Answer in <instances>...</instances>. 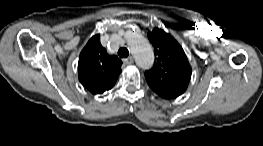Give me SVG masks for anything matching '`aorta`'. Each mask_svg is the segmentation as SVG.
<instances>
[{
    "label": "aorta",
    "mask_w": 263,
    "mask_h": 146,
    "mask_svg": "<svg viewBox=\"0 0 263 146\" xmlns=\"http://www.w3.org/2000/svg\"><path fill=\"white\" fill-rule=\"evenodd\" d=\"M127 42L137 65L142 69L150 68L154 63V53L149 42L137 32H130Z\"/></svg>",
    "instance_id": "obj_1"
}]
</instances>
